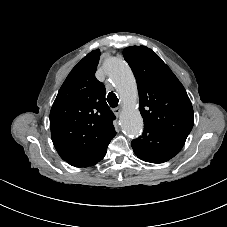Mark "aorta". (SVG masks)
I'll return each mask as SVG.
<instances>
[{
	"label": "aorta",
	"mask_w": 227,
	"mask_h": 227,
	"mask_svg": "<svg viewBox=\"0 0 227 227\" xmlns=\"http://www.w3.org/2000/svg\"><path fill=\"white\" fill-rule=\"evenodd\" d=\"M104 70L116 85L123 103L120 116L123 131L129 136H139L143 130V119L136 108L138 94L130 67L124 60L111 57L104 63Z\"/></svg>",
	"instance_id": "obj_1"
}]
</instances>
